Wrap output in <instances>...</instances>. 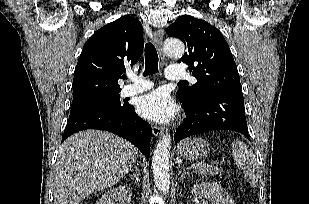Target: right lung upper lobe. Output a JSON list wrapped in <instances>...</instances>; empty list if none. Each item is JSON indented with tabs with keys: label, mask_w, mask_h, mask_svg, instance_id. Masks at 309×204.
Wrapping results in <instances>:
<instances>
[{
	"label": "right lung upper lobe",
	"mask_w": 309,
	"mask_h": 204,
	"mask_svg": "<svg viewBox=\"0 0 309 204\" xmlns=\"http://www.w3.org/2000/svg\"><path fill=\"white\" fill-rule=\"evenodd\" d=\"M141 23L128 16L105 25L84 44L73 81L72 104L121 91L118 80L143 53Z\"/></svg>",
	"instance_id": "obj_1"
}]
</instances>
